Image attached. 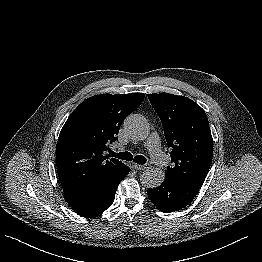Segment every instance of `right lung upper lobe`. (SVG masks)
Here are the masks:
<instances>
[{"instance_id":"cb5924a9","label":"right lung upper lobe","mask_w":262,"mask_h":262,"mask_svg":"<svg viewBox=\"0 0 262 262\" xmlns=\"http://www.w3.org/2000/svg\"><path fill=\"white\" fill-rule=\"evenodd\" d=\"M143 93L101 94L84 100L61 129L56 164L63 189L119 179L126 165L115 158L107 160L104 151L116 141L120 125L144 99Z\"/></svg>"}]
</instances>
